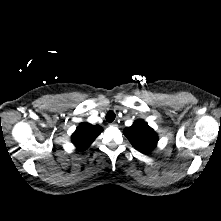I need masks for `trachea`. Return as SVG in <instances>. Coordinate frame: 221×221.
Instances as JSON below:
<instances>
[{"label": "trachea", "mask_w": 221, "mask_h": 221, "mask_svg": "<svg viewBox=\"0 0 221 221\" xmlns=\"http://www.w3.org/2000/svg\"><path fill=\"white\" fill-rule=\"evenodd\" d=\"M115 117H116V115H115V113H114L113 111H109V112L106 114V120H107L108 122L114 121V120H115Z\"/></svg>", "instance_id": "obj_1"}]
</instances>
